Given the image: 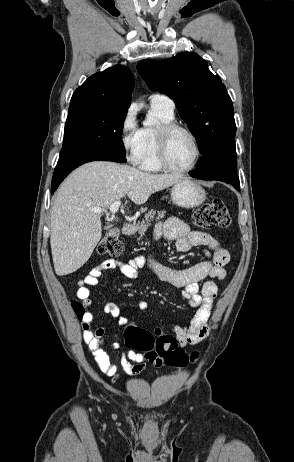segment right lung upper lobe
Wrapping results in <instances>:
<instances>
[{"label":"right lung upper lobe","instance_id":"obj_1","mask_svg":"<svg viewBox=\"0 0 294 462\" xmlns=\"http://www.w3.org/2000/svg\"><path fill=\"white\" fill-rule=\"evenodd\" d=\"M134 88L131 70L123 65H115L105 71L90 76L78 87L70 102L76 106H106L128 109Z\"/></svg>","mask_w":294,"mask_h":462}]
</instances>
